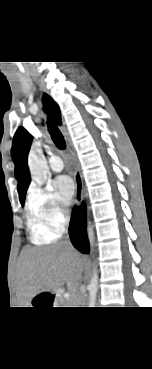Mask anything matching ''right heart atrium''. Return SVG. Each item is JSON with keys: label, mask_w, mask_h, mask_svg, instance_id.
I'll use <instances>...</instances> for the list:
<instances>
[{"label": "right heart atrium", "mask_w": 152, "mask_h": 369, "mask_svg": "<svg viewBox=\"0 0 152 369\" xmlns=\"http://www.w3.org/2000/svg\"><path fill=\"white\" fill-rule=\"evenodd\" d=\"M28 209L52 235L60 234L70 220L67 206L62 199L47 188L31 187Z\"/></svg>", "instance_id": "d8ad5b80"}]
</instances>
